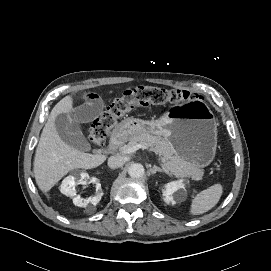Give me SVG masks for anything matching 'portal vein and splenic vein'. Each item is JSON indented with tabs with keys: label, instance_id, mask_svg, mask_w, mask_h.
<instances>
[{
	"label": "portal vein and splenic vein",
	"instance_id": "18ae733b",
	"mask_svg": "<svg viewBox=\"0 0 271 271\" xmlns=\"http://www.w3.org/2000/svg\"><path fill=\"white\" fill-rule=\"evenodd\" d=\"M139 149H146V150H148L150 153L153 154V150H152L151 148H149L147 145H144V144H137V145L132 146V147H129V148H124V149H122L120 152H121L122 154H129V153L135 152V151H137V150H139ZM155 158H156V160L159 162V164L161 165V167L163 168L164 172H165L167 175L172 176L171 173L166 169V167L164 166V164L161 163L160 159H159L158 157H156V156H155ZM194 179L198 180L199 178H194Z\"/></svg>",
	"mask_w": 271,
	"mask_h": 271
}]
</instances>
